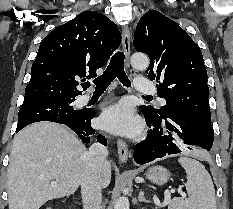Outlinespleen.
Listing matches in <instances>:
<instances>
[{"label":"spleen","instance_id":"1","mask_svg":"<svg viewBox=\"0 0 233 209\" xmlns=\"http://www.w3.org/2000/svg\"><path fill=\"white\" fill-rule=\"evenodd\" d=\"M178 162L187 174V199L174 198L168 209H216L215 189L210 174L197 160L181 157Z\"/></svg>","mask_w":233,"mask_h":209}]
</instances>
